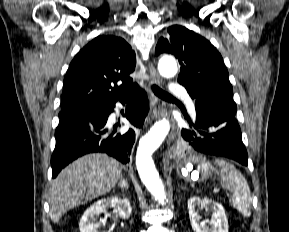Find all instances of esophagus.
<instances>
[{
	"instance_id": "34e87169",
	"label": "esophagus",
	"mask_w": 289,
	"mask_h": 232,
	"mask_svg": "<svg viewBox=\"0 0 289 232\" xmlns=\"http://www.w3.org/2000/svg\"><path fill=\"white\" fill-rule=\"evenodd\" d=\"M149 75H150V80L153 84H157V85L161 84L162 80H161L159 74L157 73V71L155 70V68L153 67L152 64H149ZM155 106L157 107L159 114L161 116H164L166 114V111H165L163 105H161L160 103H158L156 105V103H155ZM173 137H174V135L171 134L169 136V141H171L173 139Z\"/></svg>"
}]
</instances>
